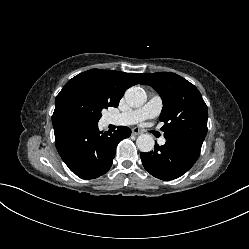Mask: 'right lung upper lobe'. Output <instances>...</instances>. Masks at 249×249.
Returning <instances> with one entry per match:
<instances>
[{
  "label": "right lung upper lobe",
  "instance_id": "obj_1",
  "mask_svg": "<svg viewBox=\"0 0 249 249\" xmlns=\"http://www.w3.org/2000/svg\"><path fill=\"white\" fill-rule=\"evenodd\" d=\"M144 78L145 74L91 69L73 77L66 85L87 86L108 106L117 107L125 91L133 85L142 84Z\"/></svg>",
  "mask_w": 249,
  "mask_h": 249
}]
</instances>
